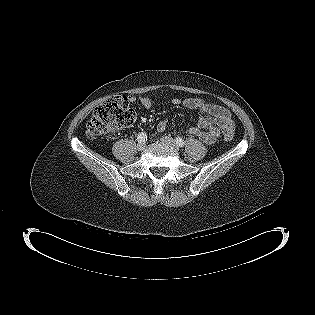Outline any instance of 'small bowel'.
<instances>
[{
  "label": "small bowel",
  "instance_id": "1",
  "mask_svg": "<svg viewBox=\"0 0 315 315\" xmlns=\"http://www.w3.org/2000/svg\"><path fill=\"white\" fill-rule=\"evenodd\" d=\"M133 96L129 97V102H134ZM140 105L145 109H150L152 100L147 96L139 98ZM171 103L175 106L182 105L191 110L199 111L202 116L196 126H190L185 132L195 136L207 144L214 143L221 133H230L233 135L235 124L230 112L213 102L200 97H190L186 99L173 98ZM167 128V121L163 120L158 124V130L163 131Z\"/></svg>",
  "mask_w": 315,
  "mask_h": 315
}]
</instances>
